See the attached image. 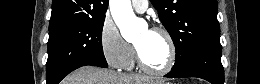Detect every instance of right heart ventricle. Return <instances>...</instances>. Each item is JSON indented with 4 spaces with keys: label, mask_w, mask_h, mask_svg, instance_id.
I'll return each instance as SVG.
<instances>
[{
    "label": "right heart ventricle",
    "mask_w": 260,
    "mask_h": 84,
    "mask_svg": "<svg viewBox=\"0 0 260 84\" xmlns=\"http://www.w3.org/2000/svg\"><path fill=\"white\" fill-rule=\"evenodd\" d=\"M133 65H134V56L132 57V59L130 60L129 64L125 68L129 69V68L133 67Z\"/></svg>",
    "instance_id": "e07e8e85"
}]
</instances>
